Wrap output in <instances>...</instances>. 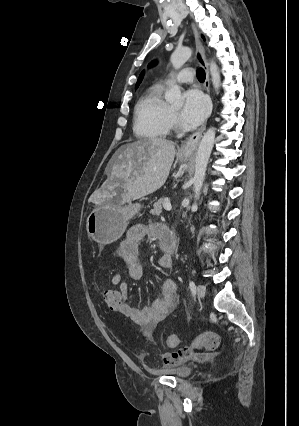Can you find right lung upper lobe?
<instances>
[{
  "label": "right lung upper lobe",
  "mask_w": 299,
  "mask_h": 426,
  "mask_svg": "<svg viewBox=\"0 0 299 426\" xmlns=\"http://www.w3.org/2000/svg\"><path fill=\"white\" fill-rule=\"evenodd\" d=\"M143 74H144V71L140 74V76H139V78H138V81H137V83H136V88L139 86V84H140V82H141V80H142V78H143Z\"/></svg>",
  "instance_id": "cb5924a9"
}]
</instances>
